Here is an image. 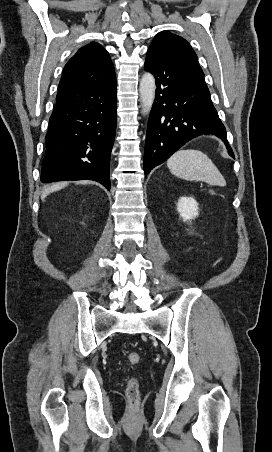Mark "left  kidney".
<instances>
[{"instance_id":"left-kidney-1","label":"left kidney","mask_w":272,"mask_h":452,"mask_svg":"<svg viewBox=\"0 0 272 452\" xmlns=\"http://www.w3.org/2000/svg\"><path fill=\"white\" fill-rule=\"evenodd\" d=\"M177 210L183 221H190L199 215L198 203L193 197H181L177 203Z\"/></svg>"}]
</instances>
